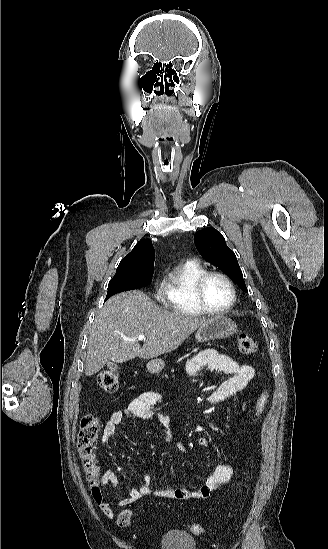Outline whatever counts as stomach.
Listing matches in <instances>:
<instances>
[{"label": "stomach", "instance_id": "obj_1", "mask_svg": "<svg viewBox=\"0 0 328 549\" xmlns=\"http://www.w3.org/2000/svg\"><path fill=\"white\" fill-rule=\"evenodd\" d=\"M237 331L236 323L229 317H213V319H209L206 325L197 329L195 339L198 343H206V341H215V339H225V337H230ZM164 367L165 363L162 359H152L146 365L148 373H152V375L161 373Z\"/></svg>", "mask_w": 328, "mask_h": 549}]
</instances>
